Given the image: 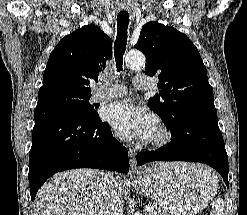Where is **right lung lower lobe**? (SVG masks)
Masks as SVG:
<instances>
[{"instance_id": "1", "label": "right lung lower lobe", "mask_w": 247, "mask_h": 215, "mask_svg": "<svg viewBox=\"0 0 247 215\" xmlns=\"http://www.w3.org/2000/svg\"><path fill=\"white\" fill-rule=\"evenodd\" d=\"M29 153L31 200L53 174L75 168L126 173L128 152L97 117H85L53 102L38 100Z\"/></svg>"}]
</instances>
